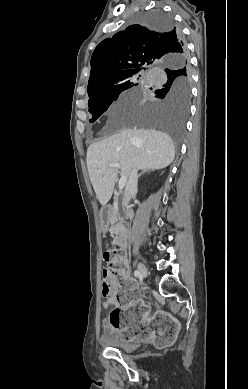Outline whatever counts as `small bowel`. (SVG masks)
<instances>
[{
    "instance_id": "1",
    "label": "small bowel",
    "mask_w": 248,
    "mask_h": 389,
    "mask_svg": "<svg viewBox=\"0 0 248 389\" xmlns=\"http://www.w3.org/2000/svg\"><path fill=\"white\" fill-rule=\"evenodd\" d=\"M112 305H116L117 306L118 305V301L106 298V300L103 302V308H105V309H108ZM103 327L105 329H109L111 327V325H110L108 320H104L103 321Z\"/></svg>"
}]
</instances>
